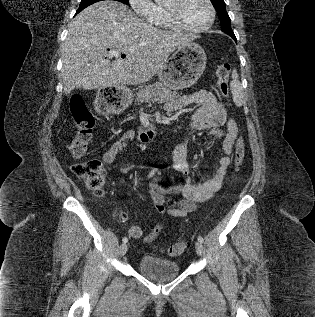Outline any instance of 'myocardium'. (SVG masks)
<instances>
[{
  "instance_id": "1",
  "label": "myocardium",
  "mask_w": 315,
  "mask_h": 317,
  "mask_svg": "<svg viewBox=\"0 0 315 317\" xmlns=\"http://www.w3.org/2000/svg\"><path fill=\"white\" fill-rule=\"evenodd\" d=\"M204 1L207 4L209 9V20L204 26L191 27L182 22L179 16V8L182 3V0H169V3L165 5V11L170 23L173 25V27L183 31H187V32L200 33V32L207 31L214 24L216 11L211 0H204Z\"/></svg>"
}]
</instances>
